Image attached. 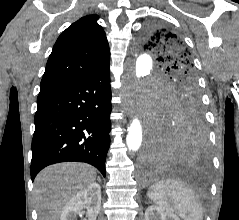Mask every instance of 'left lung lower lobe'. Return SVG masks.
I'll use <instances>...</instances> for the list:
<instances>
[{
  "instance_id": "obj_1",
  "label": "left lung lower lobe",
  "mask_w": 239,
  "mask_h": 220,
  "mask_svg": "<svg viewBox=\"0 0 239 220\" xmlns=\"http://www.w3.org/2000/svg\"><path fill=\"white\" fill-rule=\"evenodd\" d=\"M206 157L207 135L201 111L187 108L165 112L160 109L156 113L142 156L144 173L162 172L177 163H199Z\"/></svg>"
}]
</instances>
